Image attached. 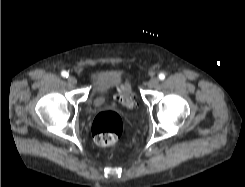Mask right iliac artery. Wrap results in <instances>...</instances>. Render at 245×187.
I'll return each instance as SVG.
<instances>
[{
	"label": "right iliac artery",
	"mask_w": 245,
	"mask_h": 187,
	"mask_svg": "<svg viewBox=\"0 0 245 187\" xmlns=\"http://www.w3.org/2000/svg\"><path fill=\"white\" fill-rule=\"evenodd\" d=\"M61 75H62V77L67 78L68 77V72L62 71Z\"/></svg>",
	"instance_id": "right-iliac-artery-1"
}]
</instances>
